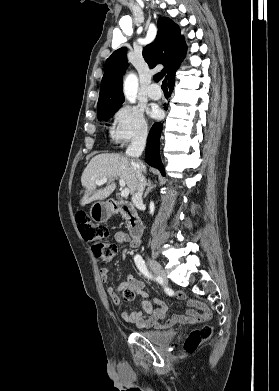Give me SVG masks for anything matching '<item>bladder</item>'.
I'll return each mask as SVG.
<instances>
[{"instance_id":"1","label":"bladder","mask_w":279,"mask_h":391,"mask_svg":"<svg viewBox=\"0 0 279 391\" xmlns=\"http://www.w3.org/2000/svg\"><path fill=\"white\" fill-rule=\"evenodd\" d=\"M139 335L147 339L153 344L163 346L170 344L176 336L175 330L157 331V330H143L138 332Z\"/></svg>"}]
</instances>
